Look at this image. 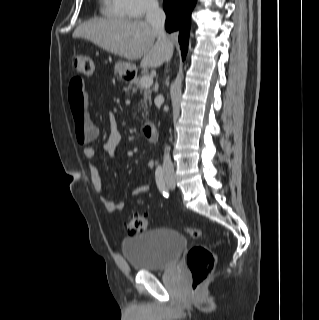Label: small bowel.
I'll return each mask as SVG.
<instances>
[{
    "label": "small bowel",
    "instance_id": "small-bowel-1",
    "mask_svg": "<svg viewBox=\"0 0 319 320\" xmlns=\"http://www.w3.org/2000/svg\"><path fill=\"white\" fill-rule=\"evenodd\" d=\"M68 100L70 105V110L72 116L77 114H83L88 124L93 128L95 132V137L99 134L98 127L89 119L87 113L88 97L85 90V83L80 78H73L69 83V93ZM110 130L106 137L104 148L109 155H114L117 147L121 142V133L115 127L112 116L109 117ZM83 155L87 160H93L95 157V150L92 146H86L83 149ZM153 161L147 162L148 168H153ZM90 182L94 190L99 195L100 201L102 202L105 210L109 213L122 211L125 207L124 202H116L108 198L104 193V185L102 177L99 173L98 168L95 165L90 167ZM149 187L147 184H142L137 187H134L130 190V196H139L148 191Z\"/></svg>",
    "mask_w": 319,
    "mask_h": 320
}]
</instances>
